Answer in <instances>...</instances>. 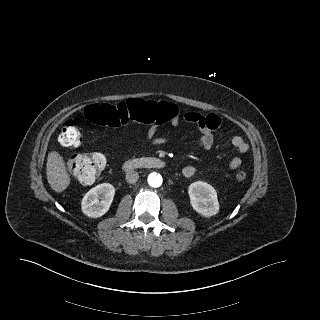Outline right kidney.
Returning <instances> with one entry per match:
<instances>
[{
    "label": "right kidney",
    "instance_id": "obj_1",
    "mask_svg": "<svg viewBox=\"0 0 320 320\" xmlns=\"http://www.w3.org/2000/svg\"><path fill=\"white\" fill-rule=\"evenodd\" d=\"M115 195V188L109 183H102L90 189L82 199L81 209L90 218L103 216L110 208Z\"/></svg>",
    "mask_w": 320,
    "mask_h": 320
}]
</instances>
